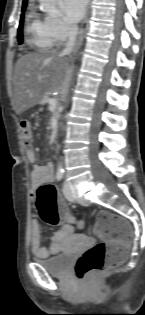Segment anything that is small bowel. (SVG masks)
<instances>
[{"mask_svg":"<svg viewBox=\"0 0 145 315\" xmlns=\"http://www.w3.org/2000/svg\"><path fill=\"white\" fill-rule=\"evenodd\" d=\"M26 156L33 168L30 173L31 190L34 193L37 188L43 183H50L54 180V167L52 163L37 164L36 153L33 149L26 150ZM73 232V227L69 224H64L59 231L52 237L50 246L45 248L41 244L42 229L38 219L33 216L31 221L30 246L34 256L45 258L55 255L62 250L63 240Z\"/></svg>","mask_w":145,"mask_h":315,"instance_id":"small-bowel-1","label":"small bowel"}]
</instances>
